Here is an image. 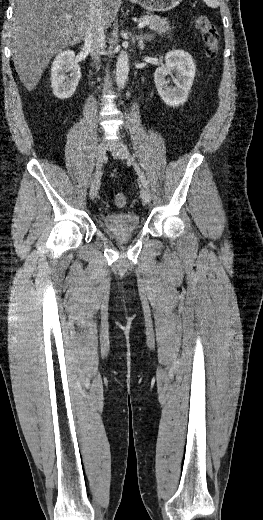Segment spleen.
Segmentation results:
<instances>
[{"label": "spleen", "mask_w": 263, "mask_h": 520, "mask_svg": "<svg viewBox=\"0 0 263 520\" xmlns=\"http://www.w3.org/2000/svg\"><path fill=\"white\" fill-rule=\"evenodd\" d=\"M206 5L211 8H217L218 7V0H204Z\"/></svg>", "instance_id": "obj_1"}]
</instances>
